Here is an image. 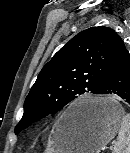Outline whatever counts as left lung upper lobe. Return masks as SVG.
<instances>
[{"mask_svg": "<svg viewBox=\"0 0 130 153\" xmlns=\"http://www.w3.org/2000/svg\"><path fill=\"white\" fill-rule=\"evenodd\" d=\"M121 43L114 30L103 26L73 37L42 68L25 99L24 114L15 133L85 93L98 94L103 73Z\"/></svg>", "mask_w": 130, "mask_h": 153, "instance_id": "5c2ea615", "label": "left lung upper lobe"}]
</instances>
